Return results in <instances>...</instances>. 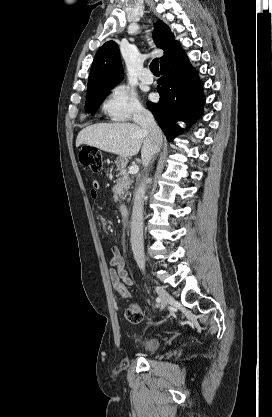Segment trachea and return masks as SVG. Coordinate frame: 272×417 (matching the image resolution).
<instances>
[{"label": "trachea", "instance_id": "3493384b", "mask_svg": "<svg viewBox=\"0 0 272 417\" xmlns=\"http://www.w3.org/2000/svg\"><path fill=\"white\" fill-rule=\"evenodd\" d=\"M150 70L152 71L153 74L158 75L159 72V65H158V59L155 58L152 60L151 64H150Z\"/></svg>", "mask_w": 272, "mask_h": 417}]
</instances>
